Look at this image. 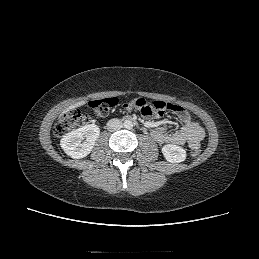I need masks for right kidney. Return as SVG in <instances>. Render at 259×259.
<instances>
[{"label":"right kidney","instance_id":"right-kidney-1","mask_svg":"<svg viewBox=\"0 0 259 259\" xmlns=\"http://www.w3.org/2000/svg\"><path fill=\"white\" fill-rule=\"evenodd\" d=\"M100 129L95 124L84 125L63 136L60 141L64 152L74 159L86 157L99 137ZM85 139V141H82Z\"/></svg>","mask_w":259,"mask_h":259}]
</instances>
